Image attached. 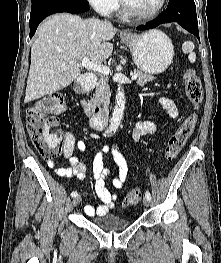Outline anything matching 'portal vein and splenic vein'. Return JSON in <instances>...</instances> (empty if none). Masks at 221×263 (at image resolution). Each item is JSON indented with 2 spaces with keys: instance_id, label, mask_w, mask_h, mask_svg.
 <instances>
[{
  "instance_id": "obj_1",
  "label": "portal vein and splenic vein",
  "mask_w": 221,
  "mask_h": 263,
  "mask_svg": "<svg viewBox=\"0 0 221 263\" xmlns=\"http://www.w3.org/2000/svg\"><path fill=\"white\" fill-rule=\"evenodd\" d=\"M81 66L89 69V70H92V71H95V72H98V73H101L103 75H108L109 72H110V69L109 67L107 66H104V65H100L98 63H94V62H91L89 60L88 57H84L80 63ZM138 78V75L137 74H133L131 76V79L132 80H136Z\"/></svg>"
}]
</instances>
